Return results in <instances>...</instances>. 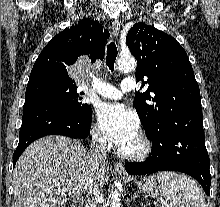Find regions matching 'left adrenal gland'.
<instances>
[{
  "label": "left adrenal gland",
  "mask_w": 220,
  "mask_h": 207,
  "mask_svg": "<svg viewBox=\"0 0 220 207\" xmlns=\"http://www.w3.org/2000/svg\"><path fill=\"white\" fill-rule=\"evenodd\" d=\"M138 192L136 191V192H134V194L132 195V197H131V199H135V198H137L138 197Z\"/></svg>",
  "instance_id": "a2214340"
}]
</instances>
